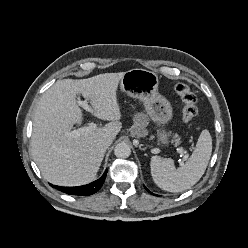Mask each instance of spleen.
Masks as SVG:
<instances>
[{
  "label": "spleen",
  "mask_w": 248,
  "mask_h": 248,
  "mask_svg": "<svg viewBox=\"0 0 248 248\" xmlns=\"http://www.w3.org/2000/svg\"><path fill=\"white\" fill-rule=\"evenodd\" d=\"M212 153V138L208 130H203L196 147L184 165L174 167L171 158L153 156L151 175L155 184L169 192H182L191 188L203 176Z\"/></svg>",
  "instance_id": "1"
}]
</instances>
